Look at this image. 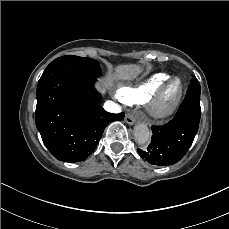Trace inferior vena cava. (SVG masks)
I'll use <instances>...</instances> for the list:
<instances>
[{
    "label": "inferior vena cava",
    "mask_w": 229,
    "mask_h": 229,
    "mask_svg": "<svg viewBox=\"0 0 229 229\" xmlns=\"http://www.w3.org/2000/svg\"><path fill=\"white\" fill-rule=\"evenodd\" d=\"M103 107L108 112H112V113L121 112V107L118 104L114 103L113 101H106Z\"/></svg>",
    "instance_id": "obj_1"
}]
</instances>
